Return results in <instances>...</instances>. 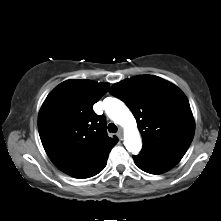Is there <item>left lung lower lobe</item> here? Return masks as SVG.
Here are the masks:
<instances>
[{
	"label": "left lung lower lobe",
	"instance_id": "1",
	"mask_svg": "<svg viewBox=\"0 0 221 221\" xmlns=\"http://www.w3.org/2000/svg\"><path fill=\"white\" fill-rule=\"evenodd\" d=\"M184 156V153H170L164 155H149L140 153L133 156L136 165L145 172L161 174L174 167Z\"/></svg>",
	"mask_w": 221,
	"mask_h": 221
}]
</instances>
